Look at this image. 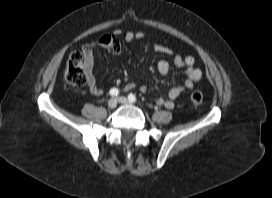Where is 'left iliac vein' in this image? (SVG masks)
<instances>
[{"mask_svg":"<svg viewBox=\"0 0 272 198\" xmlns=\"http://www.w3.org/2000/svg\"><path fill=\"white\" fill-rule=\"evenodd\" d=\"M118 101L121 104H130L129 100L126 97H123V96H119Z\"/></svg>","mask_w":272,"mask_h":198,"instance_id":"1","label":"left iliac vein"}]
</instances>
